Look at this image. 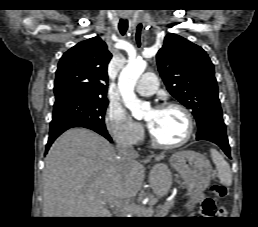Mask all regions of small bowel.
Segmentation results:
<instances>
[{"label": "small bowel", "mask_w": 258, "mask_h": 227, "mask_svg": "<svg viewBox=\"0 0 258 227\" xmlns=\"http://www.w3.org/2000/svg\"><path fill=\"white\" fill-rule=\"evenodd\" d=\"M202 208L200 210V215L207 216V215H222L225 212L224 208H216L215 203L210 198H201Z\"/></svg>", "instance_id": "obj_1"}]
</instances>
